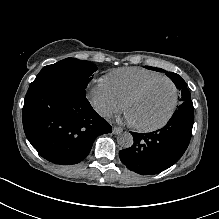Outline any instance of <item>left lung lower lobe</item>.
I'll return each instance as SVG.
<instances>
[{"label":"left lung lower lobe","mask_w":219,"mask_h":219,"mask_svg":"<svg viewBox=\"0 0 219 219\" xmlns=\"http://www.w3.org/2000/svg\"><path fill=\"white\" fill-rule=\"evenodd\" d=\"M194 113L173 114L168 123L150 133L132 132L134 144L119 152L121 162L138 174L153 175L175 164L186 151Z\"/></svg>","instance_id":"obj_1"}]
</instances>
